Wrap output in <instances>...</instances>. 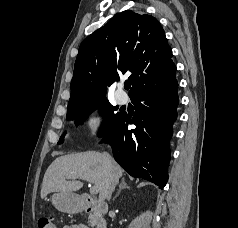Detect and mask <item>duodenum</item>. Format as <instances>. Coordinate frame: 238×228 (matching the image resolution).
Segmentation results:
<instances>
[{
    "label": "duodenum",
    "instance_id": "duodenum-1",
    "mask_svg": "<svg viewBox=\"0 0 238 228\" xmlns=\"http://www.w3.org/2000/svg\"><path fill=\"white\" fill-rule=\"evenodd\" d=\"M76 208L92 215L95 228H106L104 219V216L108 211L106 204L93 199L90 196L80 195L76 201Z\"/></svg>",
    "mask_w": 238,
    "mask_h": 228
}]
</instances>
